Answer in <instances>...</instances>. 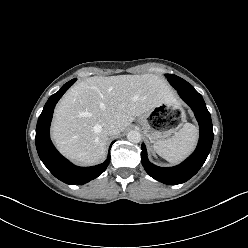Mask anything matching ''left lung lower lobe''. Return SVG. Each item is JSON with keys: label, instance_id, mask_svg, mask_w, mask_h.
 I'll list each match as a JSON object with an SVG mask.
<instances>
[{"label": "left lung lower lobe", "instance_id": "obj_1", "mask_svg": "<svg viewBox=\"0 0 248 248\" xmlns=\"http://www.w3.org/2000/svg\"><path fill=\"white\" fill-rule=\"evenodd\" d=\"M178 93L191 107L199 123L200 137L194 153L175 167L162 168L148 161L146 147L144 144L141 146V162L146 172L155 180L168 185L181 184L193 177L204 164L213 143L211 116L201 94L195 89Z\"/></svg>", "mask_w": 248, "mask_h": 248}]
</instances>
